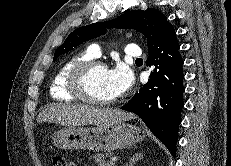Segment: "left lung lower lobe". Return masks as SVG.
I'll list each match as a JSON object with an SVG mask.
<instances>
[{"label":"left lung lower lobe","mask_w":231,"mask_h":166,"mask_svg":"<svg viewBox=\"0 0 231 166\" xmlns=\"http://www.w3.org/2000/svg\"><path fill=\"white\" fill-rule=\"evenodd\" d=\"M147 66H154L143 85L122 110L137 114L171 153H176L183 102V60L173 27L148 49Z\"/></svg>","instance_id":"1"}]
</instances>
